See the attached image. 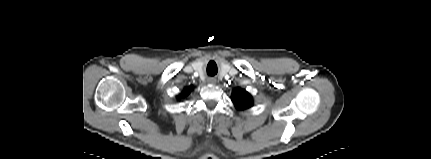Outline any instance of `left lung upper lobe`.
<instances>
[{"label": "left lung upper lobe", "mask_w": 431, "mask_h": 159, "mask_svg": "<svg viewBox=\"0 0 431 159\" xmlns=\"http://www.w3.org/2000/svg\"><path fill=\"white\" fill-rule=\"evenodd\" d=\"M232 100L239 109L248 108L252 105V98L245 90L236 89L232 94Z\"/></svg>", "instance_id": "5c2ea615"}]
</instances>
